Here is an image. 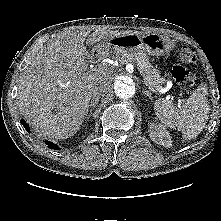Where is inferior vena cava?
<instances>
[{
  "label": "inferior vena cava",
  "mask_w": 221,
  "mask_h": 221,
  "mask_svg": "<svg viewBox=\"0 0 221 221\" xmlns=\"http://www.w3.org/2000/svg\"><path fill=\"white\" fill-rule=\"evenodd\" d=\"M106 92L107 91H106L105 84L101 83L92 89V96L94 98H99L100 96H103Z\"/></svg>",
  "instance_id": "602c4592"
}]
</instances>
